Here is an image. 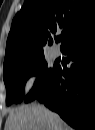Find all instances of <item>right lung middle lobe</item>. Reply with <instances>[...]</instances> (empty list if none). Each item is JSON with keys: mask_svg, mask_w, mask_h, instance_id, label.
<instances>
[{"mask_svg": "<svg viewBox=\"0 0 95 130\" xmlns=\"http://www.w3.org/2000/svg\"><path fill=\"white\" fill-rule=\"evenodd\" d=\"M55 70L56 66L48 68L45 59L41 58L32 63L3 71L7 105L21 102L24 97L25 82L30 76L39 75V80L35 82L33 89L25 99L26 102L31 101L44 88Z\"/></svg>", "mask_w": 95, "mask_h": 130, "instance_id": "right-lung-middle-lobe-1", "label": "right lung middle lobe"}]
</instances>
